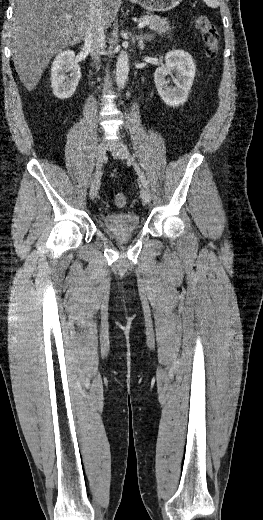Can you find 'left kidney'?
<instances>
[{
	"instance_id": "5707ae66",
	"label": "left kidney",
	"mask_w": 263,
	"mask_h": 520,
	"mask_svg": "<svg viewBox=\"0 0 263 520\" xmlns=\"http://www.w3.org/2000/svg\"><path fill=\"white\" fill-rule=\"evenodd\" d=\"M195 72V63L189 53L182 50H172L166 54L165 66L157 68L154 73L157 91L166 105L178 107L187 101ZM167 75H174V87H168Z\"/></svg>"
}]
</instances>
